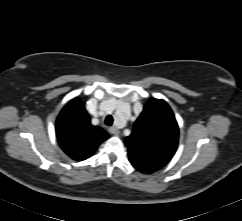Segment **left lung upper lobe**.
Here are the masks:
<instances>
[{
  "instance_id": "1",
  "label": "left lung upper lobe",
  "mask_w": 242,
  "mask_h": 221,
  "mask_svg": "<svg viewBox=\"0 0 242 221\" xmlns=\"http://www.w3.org/2000/svg\"><path fill=\"white\" fill-rule=\"evenodd\" d=\"M179 129L174 114L164 100L152 98L125 139L129 161L166 165L178 145Z\"/></svg>"
}]
</instances>
